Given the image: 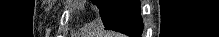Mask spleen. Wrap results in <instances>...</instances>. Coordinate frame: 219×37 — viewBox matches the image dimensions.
<instances>
[{"instance_id": "spleen-1", "label": "spleen", "mask_w": 219, "mask_h": 37, "mask_svg": "<svg viewBox=\"0 0 219 37\" xmlns=\"http://www.w3.org/2000/svg\"><path fill=\"white\" fill-rule=\"evenodd\" d=\"M107 37H122L119 34L110 33Z\"/></svg>"}]
</instances>
